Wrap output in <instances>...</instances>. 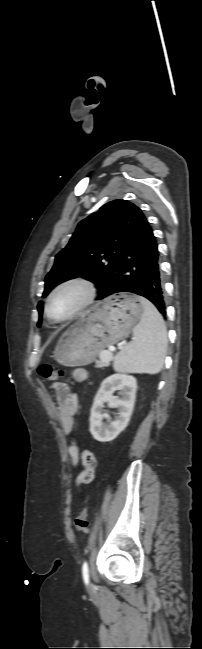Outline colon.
<instances>
[{
  "mask_svg": "<svg viewBox=\"0 0 202 649\" xmlns=\"http://www.w3.org/2000/svg\"><path fill=\"white\" fill-rule=\"evenodd\" d=\"M39 374L45 380L55 381V380H58L59 377L61 376V370L55 365L42 364L39 367ZM74 527H75V530L80 534L87 532V530H88V509L86 507L83 508L82 511L75 518Z\"/></svg>",
  "mask_w": 202,
  "mask_h": 649,
  "instance_id": "colon-1",
  "label": "colon"
}]
</instances>
